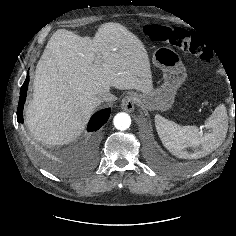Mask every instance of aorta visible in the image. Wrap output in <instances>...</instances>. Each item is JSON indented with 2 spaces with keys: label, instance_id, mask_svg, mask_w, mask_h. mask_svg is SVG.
<instances>
[{
  "label": "aorta",
  "instance_id": "762f6f07",
  "mask_svg": "<svg viewBox=\"0 0 236 236\" xmlns=\"http://www.w3.org/2000/svg\"><path fill=\"white\" fill-rule=\"evenodd\" d=\"M113 123L116 129L124 131L130 127L131 118L127 113L120 112L115 115Z\"/></svg>",
  "mask_w": 236,
  "mask_h": 236
}]
</instances>
